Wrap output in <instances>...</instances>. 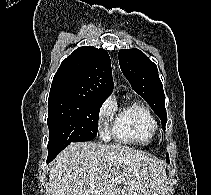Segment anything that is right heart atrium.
Here are the masks:
<instances>
[{
    "label": "right heart atrium",
    "instance_id": "right-heart-atrium-1",
    "mask_svg": "<svg viewBox=\"0 0 211 195\" xmlns=\"http://www.w3.org/2000/svg\"><path fill=\"white\" fill-rule=\"evenodd\" d=\"M111 113H112L111 104L109 102H105L101 106L99 110V115H98L99 128L103 137H107L109 134L108 128H107V122Z\"/></svg>",
    "mask_w": 211,
    "mask_h": 195
}]
</instances>
